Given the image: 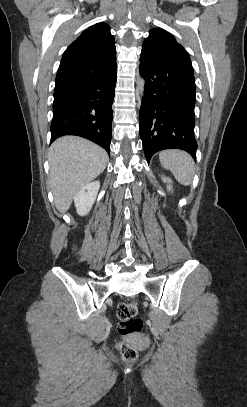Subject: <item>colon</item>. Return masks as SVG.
Here are the masks:
<instances>
[{
  "label": "colon",
  "mask_w": 247,
  "mask_h": 407,
  "mask_svg": "<svg viewBox=\"0 0 247 407\" xmlns=\"http://www.w3.org/2000/svg\"><path fill=\"white\" fill-rule=\"evenodd\" d=\"M138 305L135 301L120 303L116 309L118 319V331L122 335L138 333L142 330L143 322L137 318ZM121 358L126 363L134 362L137 359V350L128 342H120L118 345Z\"/></svg>",
  "instance_id": "colon-1"
}]
</instances>
